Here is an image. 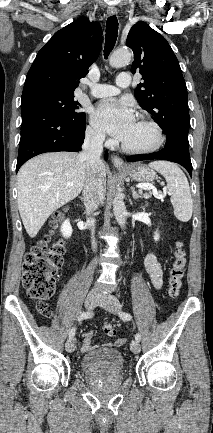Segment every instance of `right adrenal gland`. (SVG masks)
Wrapping results in <instances>:
<instances>
[{
	"label": "right adrenal gland",
	"instance_id": "2a0ac1e0",
	"mask_svg": "<svg viewBox=\"0 0 213 433\" xmlns=\"http://www.w3.org/2000/svg\"><path fill=\"white\" fill-rule=\"evenodd\" d=\"M79 198H80L81 201H83V198H82V197H79Z\"/></svg>",
	"mask_w": 213,
	"mask_h": 433
}]
</instances>
